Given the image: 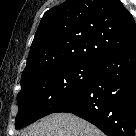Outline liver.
Wrapping results in <instances>:
<instances>
[{
  "instance_id": "obj_1",
  "label": "liver",
  "mask_w": 136,
  "mask_h": 136,
  "mask_svg": "<svg viewBox=\"0 0 136 136\" xmlns=\"http://www.w3.org/2000/svg\"><path fill=\"white\" fill-rule=\"evenodd\" d=\"M21 136H104L92 124L69 114L55 113L32 124Z\"/></svg>"
}]
</instances>
